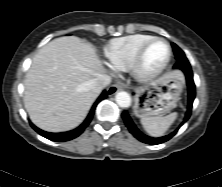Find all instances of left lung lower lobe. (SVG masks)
<instances>
[{
  "instance_id": "0a47b994",
  "label": "left lung lower lobe",
  "mask_w": 222,
  "mask_h": 187,
  "mask_svg": "<svg viewBox=\"0 0 222 187\" xmlns=\"http://www.w3.org/2000/svg\"><path fill=\"white\" fill-rule=\"evenodd\" d=\"M175 69H180L183 71V73L186 76V81H187V86H188V106H187V111L185 113L184 119L179 125V127L169 135L159 137V138H153L145 135L142 133L133 123L130 115L128 114V111H124L122 113V118L124 120L125 125L129 129L130 133L137 138L139 141L146 143V144H151V145H157L163 142L168 141L171 139L178 131V129L190 118L191 116V111H192V106H193V101L195 99V84L193 80V72L191 70V66L188 61H177V63L174 65Z\"/></svg>"
}]
</instances>
